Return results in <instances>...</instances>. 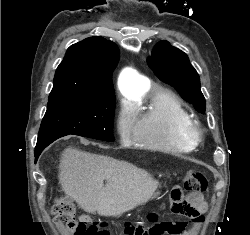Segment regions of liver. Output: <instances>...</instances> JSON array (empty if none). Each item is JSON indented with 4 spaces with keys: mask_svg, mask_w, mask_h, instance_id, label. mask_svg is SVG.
I'll return each mask as SVG.
<instances>
[{
    "mask_svg": "<svg viewBox=\"0 0 250 235\" xmlns=\"http://www.w3.org/2000/svg\"><path fill=\"white\" fill-rule=\"evenodd\" d=\"M58 177L84 211L102 216H120L146 203L158 187L150 174L128 162L72 147L61 155Z\"/></svg>",
    "mask_w": 250,
    "mask_h": 235,
    "instance_id": "liver-1",
    "label": "liver"
}]
</instances>
